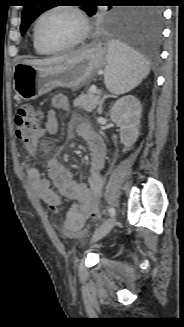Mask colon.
<instances>
[{
    "instance_id": "colon-1",
    "label": "colon",
    "mask_w": 184,
    "mask_h": 327,
    "mask_svg": "<svg viewBox=\"0 0 184 327\" xmlns=\"http://www.w3.org/2000/svg\"><path fill=\"white\" fill-rule=\"evenodd\" d=\"M41 113L30 105L18 108L15 115L16 135L22 141H28L39 131ZM55 210V209H54ZM90 216L98 218V211H93Z\"/></svg>"
}]
</instances>
